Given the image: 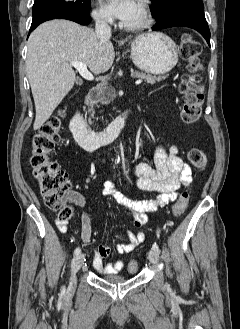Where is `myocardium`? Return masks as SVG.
I'll return each mask as SVG.
<instances>
[{"label": "myocardium", "mask_w": 240, "mask_h": 329, "mask_svg": "<svg viewBox=\"0 0 240 329\" xmlns=\"http://www.w3.org/2000/svg\"><path fill=\"white\" fill-rule=\"evenodd\" d=\"M138 4L142 10V20L136 24H122V27L127 31H140L151 26L153 22L152 11L149 0H138Z\"/></svg>", "instance_id": "1"}]
</instances>
